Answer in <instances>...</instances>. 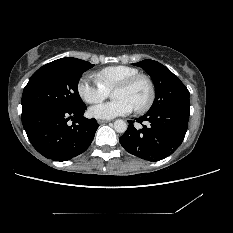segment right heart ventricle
<instances>
[{"label":"right heart ventricle","mask_w":233,"mask_h":233,"mask_svg":"<svg viewBox=\"0 0 233 233\" xmlns=\"http://www.w3.org/2000/svg\"><path fill=\"white\" fill-rule=\"evenodd\" d=\"M138 73V69L132 66L115 65L101 69L94 74V77L107 91H110L121 81Z\"/></svg>","instance_id":"right-heart-ventricle-1"}]
</instances>
